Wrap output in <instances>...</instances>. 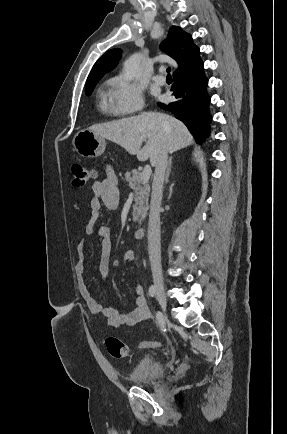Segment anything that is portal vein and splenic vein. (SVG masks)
<instances>
[{
    "instance_id": "portal-vein-and-splenic-vein-1",
    "label": "portal vein and splenic vein",
    "mask_w": 287,
    "mask_h": 434,
    "mask_svg": "<svg viewBox=\"0 0 287 434\" xmlns=\"http://www.w3.org/2000/svg\"><path fill=\"white\" fill-rule=\"evenodd\" d=\"M151 173H152L151 167L149 165H146L144 167L143 172L141 173V181L147 182L151 176Z\"/></svg>"
}]
</instances>
